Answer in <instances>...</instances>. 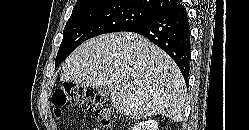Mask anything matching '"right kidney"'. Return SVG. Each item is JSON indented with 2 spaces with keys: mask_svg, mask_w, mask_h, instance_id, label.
Here are the masks:
<instances>
[{
  "mask_svg": "<svg viewBox=\"0 0 249 130\" xmlns=\"http://www.w3.org/2000/svg\"><path fill=\"white\" fill-rule=\"evenodd\" d=\"M132 130H158V122L156 120H146L138 123Z\"/></svg>",
  "mask_w": 249,
  "mask_h": 130,
  "instance_id": "obj_1",
  "label": "right kidney"
}]
</instances>
